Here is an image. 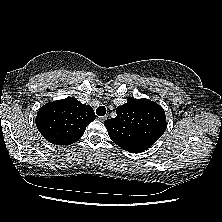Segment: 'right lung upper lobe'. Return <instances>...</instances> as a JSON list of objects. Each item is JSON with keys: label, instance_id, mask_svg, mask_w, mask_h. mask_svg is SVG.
I'll return each instance as SVG.
<instances>
[{"label": "right lung upper lobe", "instance_id": "cb5924a9", "mask_svg": "<svg viewBox=\"0 0 222 222\" xmlns=\"http://www.w3.org/2000/svg\"><path fill=\"white\" fill-rule=\"evenodd\" d=\"M95 119L94 110L74 97L48 103L37 113L36 126L41 135L55 145L78 141Z\"/></svg>", "mask_w": 222, "mask_h": 222}]
</instances>
